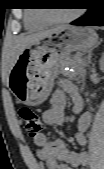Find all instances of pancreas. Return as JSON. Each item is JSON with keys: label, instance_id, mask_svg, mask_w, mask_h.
Returning <instances> with one entry per match:
<instances>
[{"label": "pancreas", "instance_id": "1", "mask_svg": "<svg viewBox=\"0 0 104 169\" xmlns=\"http://www.w3.org/2000/svg\"><path fill=\"white\" fill-rule=\"evenodd\" d=\"M63 66H68L73 69V71H63L65 76L70 78H75L76 76H83L85 74V61L80 57V55H76L74 57H66L62 62Z\"/></svg>", "mask_w": 104, "mask_h": 169}]
</instances>
